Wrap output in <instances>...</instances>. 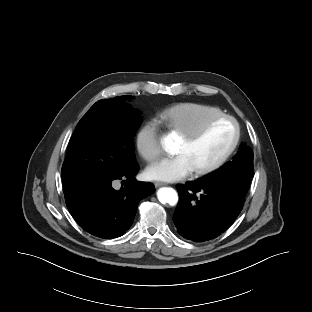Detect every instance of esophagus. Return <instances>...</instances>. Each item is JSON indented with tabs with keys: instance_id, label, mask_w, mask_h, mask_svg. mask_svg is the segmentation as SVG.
Returning <instances> with one entry per match:
<instances>
[{
	"instance_id": "esophagus-1",
	"label": "esophagus",
	"mask_w": 312,
	"mask_h": 312,
	"mask_svg": "<svg viewBox=\"0 0 312 312\" xmlns=\"http://www.w3.org/2000/svg\"><path fill=\"white\" fill-rule=\"evenodd\" d=\"M154 185H155V187H160V186H165L166 183H164V182H155Z\"/></svg>"
}]
</instances>
